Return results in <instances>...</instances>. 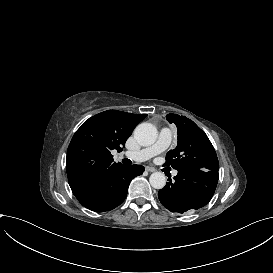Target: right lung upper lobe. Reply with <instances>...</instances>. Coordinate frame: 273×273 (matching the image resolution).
<instances>
[{"label":"right lung upper lobe","mask_w":273,"mask_h":273,"mask_svg":"<svg viewBox=\"0 0 273 273\" xmlns=\"http://www.w3.org/2000/svg\"><path fill=\"white\" fill-rule=\"evenodd\" d=\"M146 116L107 110L81 125L69 144L66 157L68 182L74 195L122 165L113 163L111 150H122L136 125Z\"/></svg>","instance_id":"right-lung-upper-lobe-1"}]
</instances>
